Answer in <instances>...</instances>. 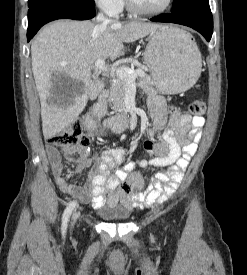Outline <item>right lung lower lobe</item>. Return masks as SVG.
Segmentation results:
<instances>
[{
  "label": "right lung lower lobe",
  "instance_id": "obj_1",
  "mask_svg": "<svg viewBox=\"0 0 247 275\" xmlns=\"http://www.w3.org/2000/svg\"><path fill=\"white\" fill-rule=\"evenodd\" d=\"M96 15L93 7L76 6L64 2H50L28 10L27 39L30 41L46 23L57 19L87 20Z\"/></svg>",
  "mask_w": 247,
  "mask_h": 275
}]
</instances>
